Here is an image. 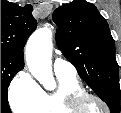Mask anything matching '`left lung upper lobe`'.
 I'll return each instance as SVG.
<instances>
[{
    "label": "left lung upper lobe",
    "mask_w": 121,
    "mask_h": 113,
    "mask_svg": "<svg viewBox=\"0 0 121 113\" xmlns=\"http://www.w3.org/2000/svg\"><path fill=\"white\" fill-rule=\"evenodd\" d=\"M53 21L59 27L56 43L64 56L111 113H120L119 67L106 20L93 4L76 0L57 8Z\"/></svg>",
    "instance_id": "5c2ea615"
}]
</instances>
